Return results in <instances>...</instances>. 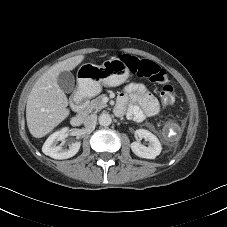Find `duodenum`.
<instances>
[{"instance_id":"1","label":"duodenum","mask_w":227,"mask_h":227,"mask_svg":"<svg viewBox=\"0 0 227 227\" xmlns=\"http://www.w3.org/2000/svg\"><path fill=\"white\" fill-rule=\"evenodd\" d=\"M86 105L87 99L85 97L84 90L80 89L74 93L71 100V106L76 111L70 119L72 126L79 127L82 124Z\"/></svg>"}]
</instances>
